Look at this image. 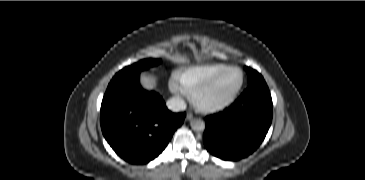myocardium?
Listing matches in <instances>:
<instances>
[{
	"label": "myocardium",
	"mask_w": 365,
	"mask_h": 180,
	"mask_svg": "<svg viewBox=\"0 0 365 180\" xmlns=\"http://www.w3.org/2000/svg\"><path fill=\"white\" fill-rule=\"evenodd\" d=\"M229 70H237L240 72L241 74V81L239 86L237 87V89L235 90V92L233 93V95L227 99L224 102L218 103V104H213V105H202L199 102V96L201 93H203L205 90H207L209 87H211L214 82L221 76L223 75L225 72L229 71ZM245 84V73L244 71L238 67V66H234V65H230L225 67L224 69L220 70L219 72H217L216 74H214L211 78H209L206 82H204L202 85H200L199 87H197L193 93L191 94V101L193 103V105L196 107V109L200 112L203 113H215V112H219L222 111L228 107H230L232 104L235 103V101L237 100V98L239 97L243 87Z\"/></svg>",
	"instance_id": "myocardium-1"
}]
</instances>
